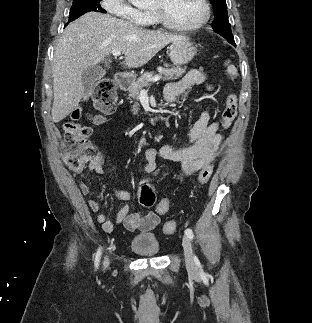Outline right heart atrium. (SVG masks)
Returning a JSON list of instances; mask_svg holds the SVG:
<instances>
[{"label":"right heart atrium","instance_id":"obj_1","mask_svg":"<svg viewBox=\"0 0 312 323\" xmlns=\"http://www.w3.org/2000/svg\"><path fill=\"white\" fill-rule=\"evenodd\" d=\"M104 13H115V17H122L123 22H142V10L134 6L129 0H103Z\"/></svg>","mask_w":312,"mask_h":323}]
</instances>
